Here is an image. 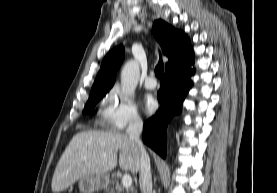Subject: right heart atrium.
Wrapping results in <instances>:
<instances>
[{"label": "right heart atrium", "mask_w": 277, "mask_h": 193, "mask_svg": "<svg viewBox=\"0 0 277 193\" xmlns=\"http://www.w3.org/2000/svg\"><path fill=\"white\" fill-rule=\"evenodd\" d=\"M113 104L105 119L114 130H124L127 127L137 126L142 123V117L136 104L118 90L111 92Z\"/></svg>", "instance_id": "d8ad5b80"}]
</instances>
